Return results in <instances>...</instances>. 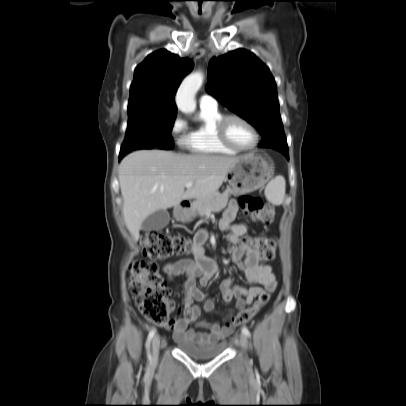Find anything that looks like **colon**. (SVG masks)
<instances>
[{
    "label": "colon",
    "mask_w": 406,
    "mask_h": 406,
    "mask_svg": "<svg viewBox=\"0 0 406 406\" xmlns=\"http://www.w3.org/2000/svg\"><path fill=\"white\" fill-rule=\"evenodd\" d=\"M244 216L255 222L269 224L273 221L275 211L259 197L244 195L239 199ZM241 246L256 251L264 260L274 256L275 242L266 237H244ZM144 257L151 261H135L130 267L128 288L135 297L141 314L156 325L166 326L170 323V290L167 287L154 260H165L186 255L193 249L184 237L161 231L145 233L141 239ZM270 291L261 292L252 306L242 309L228 324L243 325L248 323L269 301Z\"/></svg>",
    "instance_id": "1"
}]
</instances>
